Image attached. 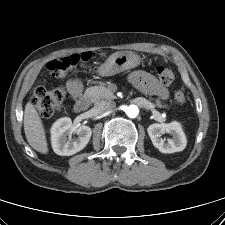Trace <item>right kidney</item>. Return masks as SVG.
<instances>
[{
  "label": "right kidney",
  "mask_w": 225,
  "mask_h": 225,
  "mask_svg": "<svg viewBox=\"0 0 225 225\" xmlns=\"http://www.w3.org/2000/svg\"><path fill=\"white\" fill-rule=\"evenodd\" d=\"M51 144L54 152L61 156H70L76 154L85 148L92 135L89 126H73L68 117L58 119L51 127ZM72 133L78 135L73 141L67 140V136Z\"/></svg>",
  "instance_id": "1"
}]
</instances>
